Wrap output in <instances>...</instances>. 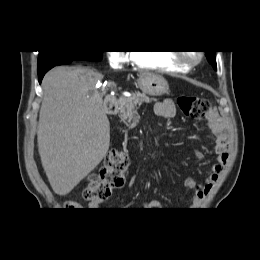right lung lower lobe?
<instances>
[{
    "label": "right lung lower lobe",
    "instance_id": "98d812e1",
    "mask_svg": "<svg viewBox=\"0 0 260 260\" xmlns=\"http://www.w3.org/2000/svg\"><path fill=\"white\" fill-rule=\"evenodd\" d=\"M72 61H67V62H64L63 64H68V63H71ZM62 65V64H61ZM51 69V68H50ZM49 69H45L43 71H40L38 72V75H39V83H41V80L43 78V76L45 75V73L48 71Z\"/></svg>",
    "mask_w": 260,
    "mask_h": 260
}]
</instances>
